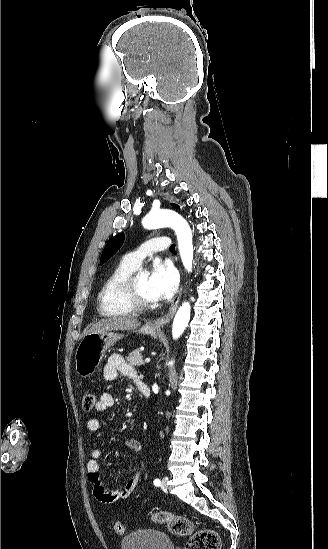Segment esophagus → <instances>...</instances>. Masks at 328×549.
Masks as SVG:
<instances>
[{"label":"esophagus","mask_w":328,"mask_h":549,"mask_svg":"<svg viewBox=\"0 0 328 549\" xmlns=\"http://www.w3.org/2000/svg\"><path fill=\"white\" fill-rule=\"evenodd\" d=\"M181 294H182V286H180L178 294L176 295L173 303L171 304L167 314L163 315L162 317H158L157 319H155L151 323V326L155 330H160L161 327H163L165 324H167L172 319V317H174V314H175L176 309L178 307L179 301L181 299Z\"/></svg>","instance_id":"34e87169"}]
</instances>
